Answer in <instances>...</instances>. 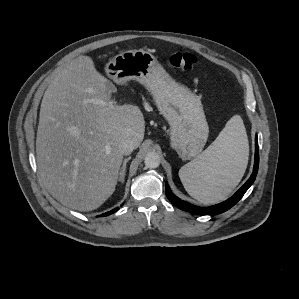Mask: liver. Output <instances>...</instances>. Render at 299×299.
<instances>
[{
  "instance_id": "liver-1",
  "label": "liver",
  "mask_w": 299,
  "mask_h": 299,
  "mask_svg": "<svg viewBox=\"0 0 299 299\" xmlns=\"http://www.w3.org/2000/svg\"><path fill=\"white\" fill-rule=\"evenodd\" d=\"M113 85L89 56H79L46 89L40 108L36 160L42 183L61 204L100 207L115 191L124 140L141 144L145 120L138 106L117 105ZM104 101L107 105L88 102Z\"/></svg>"
}]
</instances>
